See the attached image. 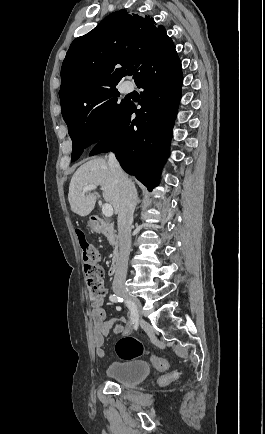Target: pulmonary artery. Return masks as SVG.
Masks as SVG:
<instances>
[{
  "mask_svg": "<svg viewBox=\"0 0 265 434\" xmlns=\"http://www.w3.org/2000/svg\"><path fill=\"white\" fill-rule=\"evenodd\" d=\"M128 91V88H124V92H127Z\"/></svg>",
  "mask_w": 265,
  "mask_h": 434,
  "instance_id": "e3ab8cb5",
  "label": "pulmonary artery"
}]
</instances>
